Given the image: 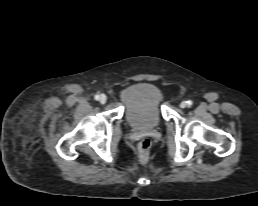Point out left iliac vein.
<instances>
[{
	"label": "left iliac vein",
	"mask_w": 258,
	"mask_h": 206,
	"mask_svg": "<svg viewBox=\"0 0 258 206\" xmlns=\"http://www.w3.org/2000/svg\"><path fill=\"white\" fill-rule=\"evenodd\" d=\"M180 107H181V108H186V107H187V102H186V101H182V102L180 103Z\"/></svg>",
	"instance_id": "4c4485c4"
}]
</instances>
